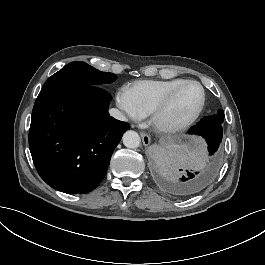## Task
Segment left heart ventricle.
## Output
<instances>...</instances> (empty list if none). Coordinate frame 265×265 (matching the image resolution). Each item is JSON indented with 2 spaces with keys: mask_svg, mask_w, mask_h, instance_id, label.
Listing matches in <instances>:
<instances>
[{
  "mask_svg": "<svg viewBox=\"0 0 265 265\" xmlns=\"http://www.w3.org/2000/svg\"><path fill=\"white\" fill-rule=\"evenodd\" d=\"M202 92L195 83L186 84L170 109L163 115L167 124H175L191 114L200 104Z\"/></svg>",
  "mask_w": 265,
  "mask_h": 265,
  "instance_id": "obj_1",
  "label": "left heart ventricle"
}]
</instances>
